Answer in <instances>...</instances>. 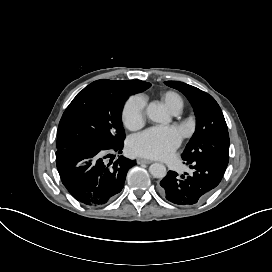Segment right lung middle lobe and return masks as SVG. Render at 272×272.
Masks as SVG:
<instances>
[{"mask_svg": "<svg viewBox=\"0 0 272 272\" xmlns=\"http://www.w3.org/2000/svg\"><path fill=\"white\" fill-rule=\"evenodd\" d=\"M150 83L133 80L125 86L84 88L66 108L57 134V149L87 143L108 149L125 139L122 107L129 95L144 91Z\"/></svg>", "mask_w": 272, "mask_h": 272, "instance_id": "right-lung-middle-lobe-1", "label": "right lung middle lobe"}]
</instances>
